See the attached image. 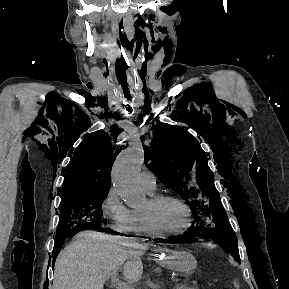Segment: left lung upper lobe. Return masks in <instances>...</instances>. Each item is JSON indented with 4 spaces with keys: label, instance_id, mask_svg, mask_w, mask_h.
I'll use <instances>...</instances> for the list:
<instances>
[{
    "label": "left lung upper lobe",
    "instance_id": "left-lung-upper-lobe-1",
    "mask_svg": "<svg viewBox=\"0 0 289 289\" xmlns=\"http://www.w3.org/2000/svg\"><path fill=\"white\" fill-rule=\"evenodd\" d=\"M161 127L153 132L150 148L145 147L149 169L190 205L195 222L188 231L212 233L214 241L240 261L237 237L228 223L205 152L183 128Z\"/></svg>",
    "mask_w": 289,
    "mask_h": 289
}]
</instances>
